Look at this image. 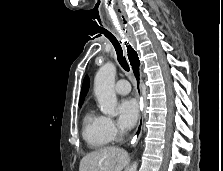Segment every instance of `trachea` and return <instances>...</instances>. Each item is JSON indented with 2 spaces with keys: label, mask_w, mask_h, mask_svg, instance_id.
<instances>
[{
  "label": "trachea",
  "mask_w": 223,
  "mask_h": 171,
  "mask_svg": "<svg viewBox=\"0 0 223 171\" xmlns=\"http://www.w3.org/2000/svg\"><path fill=\"white\" fill-rule=\"evenodd\" d=\"M107 38L111 41V43L113 44V46L115 48V51L117 54V60H118L119 64L125 71L129 72L130 67H129V64H128L125 56L123 55V50H122L120 43L114 36H111V37L107 36Z\"/></svg>",
  "instance_id": "1"
}]
</instances>
